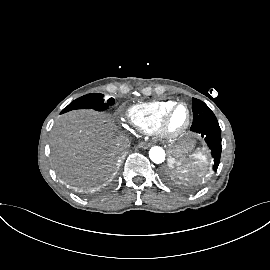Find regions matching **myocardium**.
<instances>
[{"instance_id": "f54148a6", "label": "myocardium", "mask_w": 270, "mask_h": 270, "mask_svg": "<svg viewBox=\"0 0 270 270\" xmlns=\"http://www.w3.org/2000/svg\"><path fill=\"white\" fill-rule=\"evenodd\" d=\"M183 106L186 108L187 111V118L183 126L178 130H172L169 126L170 119L174 111L180 107ZM191 124V110L190 107L185 102H176L174 105H172L163 115L160 125H159V132L165 139L168 140H176L180 137H182L186 131L188 130L189 126Z\"/></svg>"}]
</instances>
